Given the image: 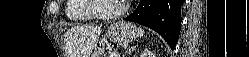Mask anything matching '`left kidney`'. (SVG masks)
Masks as SVG:
<instances>
[{
	"mask_svg": "<svg viewBox=\"0 0 249 57\" xmlns=\"http://www.w3.org/2000/svg\"><path fill=\"white\" fill-rule=\"evenodd\" d=\"M140 57H155V54L152 51L146 49L141 53Z\"/></svg>",
	"mask_w": 249,
	"mask_h": 57,
	"instance_id": "5707ae66",
	"label": "left kidney"
}]
</instances>
